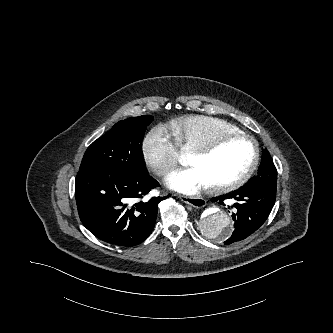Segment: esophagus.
Listing matches in <instances>:
<instances>
[{
    "label": "esophagus",
    "instance_id": "34e87169",
    "mask_svg": "<svg viewBox=\"0 0 333 333\" xmlns=\"http://www.w3.org/2000/svg\"><path fill=\"white\" fill-rule=\"evenodd\" d=\"M179 198L184 203L192 205L195 208H202L206 204V201L200 197H188V196L180 195Z\"/></svg>",
    "mask_w": 333,
    "mask_h": 333
}]
</instances>
